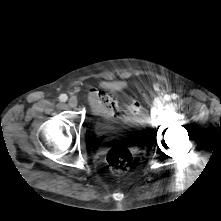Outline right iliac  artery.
I'll list each match as a JSON object with an SVG mask.
<instances>
[{
    "label": "right iliac artery",
    "mask_w": 221,
    "mask_h": 221,
    "mask_svg": "<svg viewBox=\"0 0 221 221\" xmlns=\"http://www.w3.org/2000/svg\"><path fill=\"white\" fill-rule=\"evenodd\" d=\"M67 99H68V97H67L66 94H61V95L59 96V100H60L61 102H65V101H67Z\"/></svg>",
    "instance_id": "obj_1"
}]
</instances>
